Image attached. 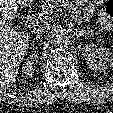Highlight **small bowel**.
Returning a JSON list of instances; mask_svg holds the SVG:
<instances>
[{"mask_svg":"<svg viewBox=\"0 0 113 113\" xmlns=\"http://www.w3.org/2000/svg\"><path fill=\"white\" fill-rule=\"evenodd\" d=\"M75 2L80 4H86L83 11V17L84 19L88 20L93 16L94 8L98 0H75Z\"/></svg>","mask_w":113,"mask_h":113,"instance_id":"c3829d8e","label":"small bowel"}]
</instances>
